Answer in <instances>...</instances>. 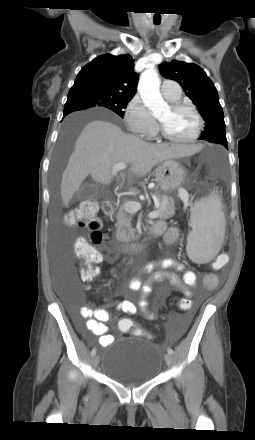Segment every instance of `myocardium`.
I'll return each mask as SVG.
<instances>
[{
	"mask_svg": "<svg viewBox=\"0 0 255 440\" xmlns=\"http://www.w3.org/2000/svg\"><path fill=\"white\" fill-rule=\"evenodd\" d=\"M170 108L172 111H178L181 109L190 110L197 119V128L191 137L186 138V139H177V138L172 137L165 130L164 126L160 122V132H161L162 137L167 141H170L173 143H178V144H188V143H192V142L196 141L200 137L202 130H203V127H204V120H203L201 114L197 111V109L193 105L188 104V103H184V102H180V101L172 103Z\"/></svg>",
	"mask_w": 255,
	"mask_h": 440,
	"instance_id": "obj_1",
	"label": "myocardium"
}]
</instances>
